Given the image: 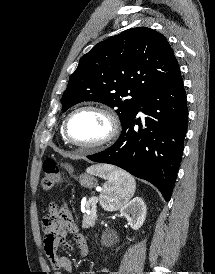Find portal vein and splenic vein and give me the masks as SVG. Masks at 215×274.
<instances>
[{
  "instance_id": "obj_1",
  "label": "portal vein and splenic vein",
  "mask_w": 215,
  "mask_h": 274,
  "mask_svg": "<svg viewBox=\"0 0 215 274\" xmlns=\"http://www.w3.org/2000/svg\"><path fill=\"white\" fill-rule=\"evenodd\" d=\"M100 191V190H98ZM94 201L97 202L98 201V198L97 197H93Z\"/></svg>"
}]
</instances>
